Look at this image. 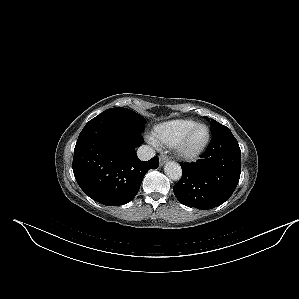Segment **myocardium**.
I'll return each mask as SVG.
<instances>
[{"label":"myocardium","instance_id":"obj_1","mask_svg":"<svg viewBox=\"0 0 299 299\" xmlns=\"http://www.w3.org/2000/svg\"><path fill=\"white\" fill-rule=\"evenodd\" d=\"M200 127H203L206 130V137L203 143L195 148V149H189L188 148V142L191 137V135L194 133V131ZM211 139V132L207 125L202 123L195 124L192 128H190L175 144V152L176 155L183 159V160H194L198 158L208 147L209 142Z\"/></svg>","mask_w":299,"mask_h":299}]
</instances>
